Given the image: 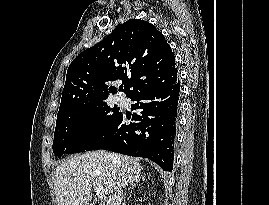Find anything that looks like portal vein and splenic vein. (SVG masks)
Returning <instances> with one entry per match:
<instances>
[{
  "instance_id": "obj_1",
  "label": "portal vein and splenic vein",
  "mask_w": 269,
  "mask_h": 205,
  "mask_svg": "<svg viewBox=\"0 0 269 205\" xmlns=\"http://www.w3.org/2000/svg\"><path fill=\"white\" fill-rule=\"evenodd\" d=\"M92 185L98 198H104L106 196L107 192L102 185L96 182H94Z\"/></svg>"
}]
</instances>
